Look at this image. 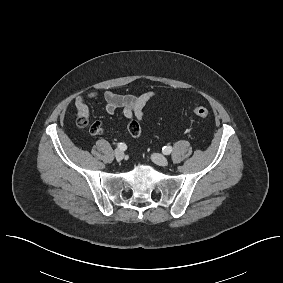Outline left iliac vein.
I'll list each match as a JSON object with an SVG mask.
<instances>
[{
    "label": "left iliac vein",
    "mask_w": 283,
    "mask_h": 283,
    "mask_svg": "<svg viewBox=\"0 0 283 283\" xmlns=\"http://www.w3.org/2000/svg\"><path fill=\"white\" fill-rule=\"evenodd\" d=\"M152 161L160 166H166L168 164V159L162 154H153Z\"/></svg>",
    "instance_id": "obj_1"
}]
</instances>
